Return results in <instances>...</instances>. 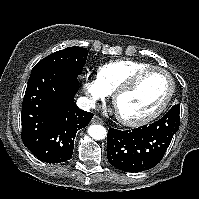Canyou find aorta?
<instances>
[{
    "mask_svg": "<svg viewBox=\"0 0 199 199\" xmlns=\"http://www.w3.org/2000/svg\"><path fill=\"white\" fill-rule=\"evenodd\" d=\"M88 134L95 140H102L107 136V131L102 125H91L88 128Z\"/></svg>",
    "mask_w": 199,
    "mask_h": 199,
    "instance_id": "aorta-1",
    "label": "aorta"
}]
</instances>
